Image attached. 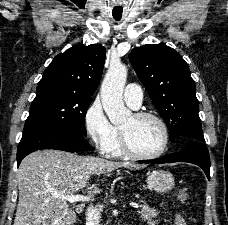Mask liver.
<instances>
[{"label": "liver", "mask_w": 228, "mask_h": 225, "mask_svg": "<svg viewBox=\"0 0 228 225\" xmlns=\"http://www.w3.org/2000/svg\"><path fill=\"white\" fill-rule=\"evenodd\" d=\"M120 167L133 169L136 165L53 149L31 153L17 171L19 199L13 225H73L76 213H82L85 205H76L72 211L68 201L57 195L97 193V189H87L91 175H104Z\"/></svg>", "instance_id": "liver-1"}]
</instances>
